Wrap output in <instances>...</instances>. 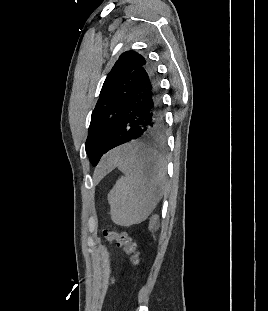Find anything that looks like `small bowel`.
Instances as JSON below:
<instances>
[{
  "label": "small bowel",
  "instance_id": "c3829d8e",
  "mask_svg": "<svg viewBox=\"0 0 268 311\" xmlns=\"http://www.w3.org/2000/svg\"><path fill=\"white\" fill-rule=\"evenodd\" d=\"M111 283H112V284L115 283V278H114V276L111 277Z\"/></svg>",
  "mask_w": 268,
  "mask_h": 311
}]
</instances>
